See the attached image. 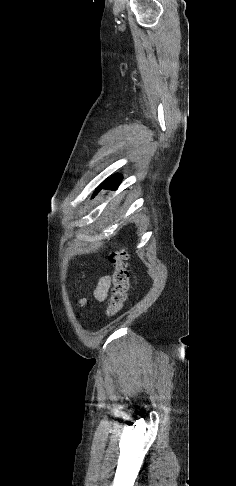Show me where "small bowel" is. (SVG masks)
I'll return each instance as SVG.
<instances>
[{
    "instance_id": "c3829d8e",
    "label": "small bowel",
    "mask_w": 236,
    "mask_h": 486,
    "mask_svg": "<svg viewBox=\"0 0 236 486\" xmlns=\"http://www.w3.org/2000/svg\"><path fill=\"white\" fill-rule=\"evenodd\" d=\"M110 278L108 276H104L101 278L94 290V296L98 301L106 300L108 296V291L110 288Z\"/></svg>"
}]
</instances>
